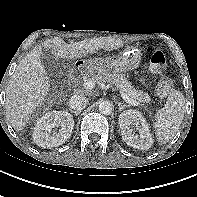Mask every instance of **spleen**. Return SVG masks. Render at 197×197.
<instances>
[{
    "label": "spleen",
    "mask_w": 197,
    "mask_h": 197,
    "mask_svg": "<svg viewBox=\"0 0 197 197\" xmlns=\"http://www.w3.org/2000/svg\"><path fill=\"white\" fill-rule=\"evenodd\" d=\"M185 97L179 90L172 91L164 107L155 115V133L157 141L162 144L168 142L178 131L185 112Z\"/></svg>",
    "instance_id": "spleen-1"
}]
</instances>
